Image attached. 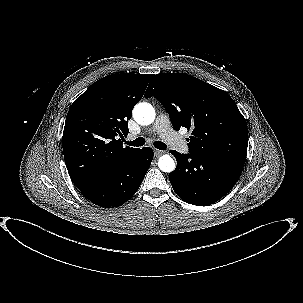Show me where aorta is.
<instances>
[{
	"mask_svg": "<svg viewBox=\"0 0 303 303\" xmlns=\"http://www.w3.org/2000/svg\"><path fill=\"white\" fill-rule=\"evenodd\" d=\"M155 109L149 103H138L133 109V117L140 125H150L155 120ZM158 167L163 172H172L175 169V162L170 155H163L159 158Z\"/></svg>",
	"mask_w": 303,
	"mask_h": 303,
	"instance_id": "aorta-1",
	"label": "aorta"
}]
</instances>
